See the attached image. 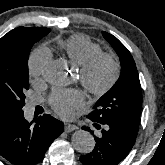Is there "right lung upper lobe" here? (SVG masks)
<instances>
[{
	"label": "right lung upper lobe",
	"mask_w": 165,
	"mask_h": 165,
	"mask_svg": "<svg viewBox=\"0 0 165 165\" xmlns=\"http://www.w3.org/2000/svg\"><path fill=\"white\" fill-rule=\"evenodd\" d=\"M22 28H25V27H18V28H15L13 30H11L10 32H8L5 36H10L14 33H17L19 30H21ZM36 29H40V30H50L48 28H36Z\"/></svg>",
	"instance_id": "right-lung-upper-lobe-1"
}]
</instances>
